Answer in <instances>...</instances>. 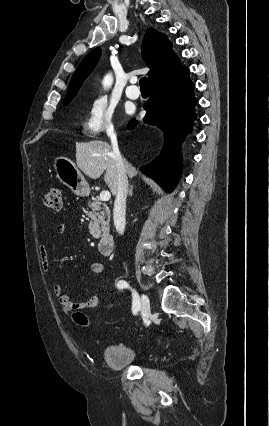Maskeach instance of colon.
I'll use <instances>...</instances> for the list:
<instances>
[{"label":"colon","instance_id":"colon-1","mask_svg":"<svg viewBox=\"0 0 269 426\" xmlns=\"http://www.w3.org/2000/svg\"><path fill=\"white\" fill-rule=\"evenodd\" d=\"M45 205L54 210L61 208V189L59 187L51 188L44 197ZM74 322L80 327H86L89 324L88 317L81 311H76L73 314Z\"/></svg>","mask_w":269,"mask_h":426}]
</instances>
